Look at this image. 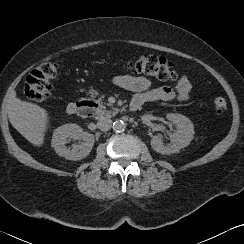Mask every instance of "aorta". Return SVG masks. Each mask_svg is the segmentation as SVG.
I'll return each instance as SVG.
<instances>
[{
  "instance_id": "aorta-1",
  "label": "aorta",
  "mask_w": 244,
  "mask_h": 244,
  "mask_svg": "<svg viewBox=\"0 0 244 244\" xmlns=\"http://www.w3.org/2000/svg\"><path fill=\"white\" fill-rule=\"evenodd\" d=\"M125 128H126V125H125V123L122 120H118V121H115L113 123V129L116 132H122V131L125 130Z\"/></svg>"
}]
</instances>
